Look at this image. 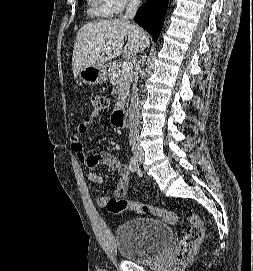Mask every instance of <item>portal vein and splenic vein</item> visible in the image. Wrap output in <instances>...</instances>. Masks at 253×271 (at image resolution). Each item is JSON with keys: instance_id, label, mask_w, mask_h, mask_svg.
I'll return each instance as SVG.
<instances>
[{"instance_id": "1", "label": "portal vein and splenic vein", "mask_w": 253, "mask_h": 271, "mask_svg": "<svg viewBox=\"0 0 253 271\" xmlns=\"http://www.w3.org/2000/svg\"><path fill=\"white\" fill-rule=\"evenodd\" d=\"M132 68H133V66H132V63H131V62H124V63L122 64V66H121V72H122L123 74L129 73V72L132 71Z\"/></svg>"}]
</instances>
